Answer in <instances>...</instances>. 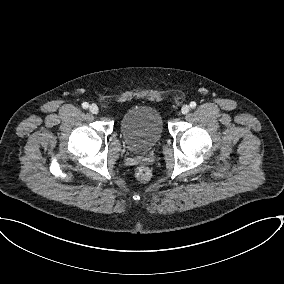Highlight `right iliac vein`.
Wrapping results in <instances>:
<instances>
[{
    "label": "right iliac vein",
    "mask_w": 284,
    "mask_h": 284,
    "mask_svg": "<svg viewBox=\"0 0 284 284\" xmlns=\"http://www.w3.org/2000/svg\"><path fill=\"white\" fill-rule=\"evenodd\" d=\"M89 111H90L92 114H97L98 111H99V108H98L97 105L91 104V105L89 106Z\"/></svg>",
    "instance_id": "63e3f726"
}]
</instances>
